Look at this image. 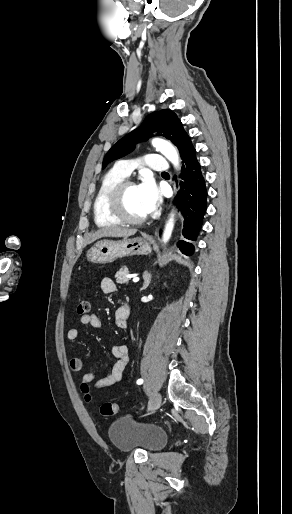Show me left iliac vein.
<instances>
[{
    "label": "left iliac vein",
    "instance_id": "obj_1",
    "mask_svg": "<svg viewBox=\"0 0 292 514\" xmlns=\"http://www.w3.org/2000/svg\"><path fill=\"white\" fill-rule=\"evenodd\" d=\"M161 401H162L161 394L160 393H155L153 395V398L149 402L148 413L151 414V413L155 412L160 407Z\"/></svg>",
    "mask_w": 292,
    "mask_h": 514
}]
</instances>
